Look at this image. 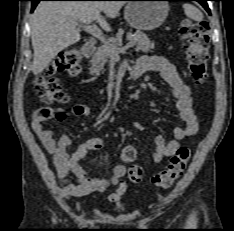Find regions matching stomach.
<instances>
[{
  "instance_id": "stomach-1",
  "label": "stomach",
  "mask_w": 234,
  "mask_h": 231,
  "mask_svg": "<svg viewBox=\"0 0 234 231\" xmlns=\"http://www.w3.org/2000/svg\"><path fill=\"white\" fill-rule=\"evenodd\" d=\"M169 12L165 0H133L128 2L124 17L128 24L139 31H152L160 27Z\"/></svg>"
}]
</instances>
